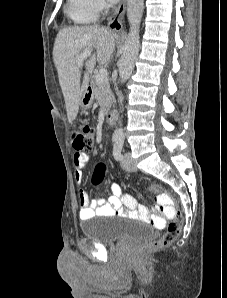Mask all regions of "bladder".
Listing matches in <instances>:
<instances>
[{
  "mask_svg": "<svg viewBox=\"0 0 227 298\" xmlns=\"http://www.w3.org/2000/svg\"><path fill=\"white\" fill-rule=\"evenodd\" d=\"M80 228L85 237L103 244L146 238L153 234V228L148 224L126 218H116L110 221L89 220L83 222Z\"/></svg>",
  "mask_w": 227,
  "mask_h": 298,
  "instance_id": "bladder-1",
  "label": "bladder"
}]
</instances>
